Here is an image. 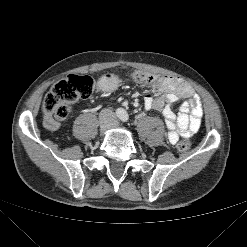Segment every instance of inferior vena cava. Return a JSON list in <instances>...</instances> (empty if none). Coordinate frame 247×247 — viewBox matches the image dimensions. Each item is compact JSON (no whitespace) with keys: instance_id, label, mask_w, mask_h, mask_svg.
Listing matches in <instances>:
<instances>
[{"instance_id":"602c4592","label":"inferior vena cava","mask_w":247,"mask_h":247,"mask_svg":"<svg viewBox=\"0 0 247 247\" xmlns=\"http://www.w3.org/2000/svg\"><path fill=\"white\" fill-rule=\"evenodd\" d=\"M99 119L103 124L110 126L116 122V115L111 109H102Z\"/></svg>"}]
</instances>
